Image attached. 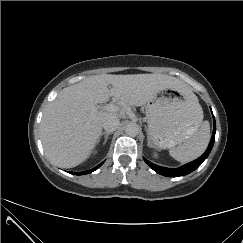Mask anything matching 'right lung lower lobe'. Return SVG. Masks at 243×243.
<instances>
[{"label": "right lung lower lobe", "instance_id": "obj_1", "mask_svg": "<svg viewBox=\"0 0 243 243\" xmlns=\"http://www.w3.org/2000/svg\"><path fill=\"white\" fill-rule=\"evenodd\" d=\"M103 164V162L101 164H99L98 166H96L95 168L88 170V171H84V172H71L74 175H84V174H88L91 173L93 171H95L97 168H99L101 165Z\"/></svg>", "mask_w": 243, "mask_h": 243}]
</instances>
